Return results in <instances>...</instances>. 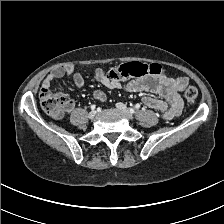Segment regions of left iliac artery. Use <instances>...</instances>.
<instances>
[{"label": "left iliac artery", "mask_w": 224, "mask_h": 224, "mask_svg": "<svg viewBox=\"0 0 224 224\" xmlns=\"http://www.w3.org/2000/svg\"><path fill=\"white\" fill-rule=\"evenodd\" d=\"M140 108V105L139 104H136L135 105V109H139ZM130 112L131 113H134V109L133 108H130Z\"/></svg>", "instance_id": "44dca946"}]
</instances>
